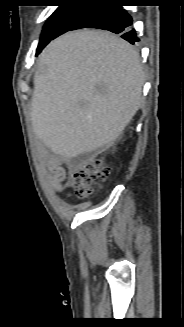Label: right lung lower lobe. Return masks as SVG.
I'll return each instance as SVG.
<instances>
[{"label":"right lung lower lobe","mask_w":184,"mask_h":327,"mask_svg":"<svg viewBox=\"0 0 184 327\" xmlns=\"http://www.w3.org/2000/svg\"><path fill=\"white\" fill-rule=\"evenodd\" d=\"M118 0H106L112 4L90 6L83 17L71 28H97L121 34L122 38L135 44L139 39L134 29H131L132 18L120 5L114 4Z\"/></svg>","instance_id":"right-lung-lower-lobe-1"}]
</instances>
